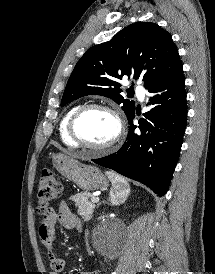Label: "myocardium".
<instances>
[{"label":"myocardium","instance_id":"obj_1","mask_svg":"<svg viewBox=\"0 0 215 274\" xmlns=\"http://www.w3.org/2000/svg\"><path fill=\"white\" fill-rule=\"evenodd\" d=\"M93 109H99V110H103L106 111L108 113H110L117 124V132L115 134V136L107 143L103 144V145H92L88 142H86L85 140H83L80 135L77 132V123L79 121V119L87 112ZM124 122L123 119L119 113V111L107 104L104 103H89V104H84L82 106H80L71 116L69 124H68V132L69 135L71 137V139L78 145L81 147H84L86 149H89L91 151L94 152H98V153H103L106 152L110 149H112L113 147H115L123 138L124 135Z\"/></svg>","mask_w":215,"mask_h":274}]
</instances>
